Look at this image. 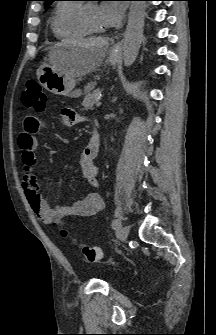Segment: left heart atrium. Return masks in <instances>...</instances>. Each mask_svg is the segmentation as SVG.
Wrapping results in <instances>:
<instances>
[{
  "label": "left heart atrium",
  "instance_id": "39dd6f15",
  "mask_svg": "<svg viewBox=\"0 0 216 335\" xmlns=\"http://www.w3.org/2000/svg\"><path fill=\"white\" fill-rule=\"evenodd\" d=\"M125 8L115 1H104L99 6V15L104 29L115 28L120 25Z\"/></svg>",
  "mask_w": 216,
  "mask_h": 335
}]
</instances>
